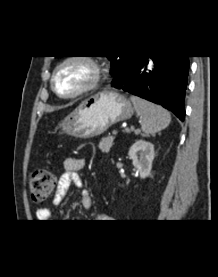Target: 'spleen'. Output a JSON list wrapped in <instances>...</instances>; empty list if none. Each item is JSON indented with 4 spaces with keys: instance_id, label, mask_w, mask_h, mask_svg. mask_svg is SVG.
<instances>
[{
    "instance_id": "1",
    "label": "spleen",
    "mask_w": 218,
    "mask_h": 277,
    "mask_svg": "<svg viewBox=\"0 0 218 277\" xmlns=\"http://www.w3.org/2000/svg\"><path fill=\"white\" fill-rule=\"evenodd\" d=\"M137 114L141 117V128L147 135L155 134L171 122L170 113L159 105L132 95L130 97Z\"/></svg>"
}]
</instances>
